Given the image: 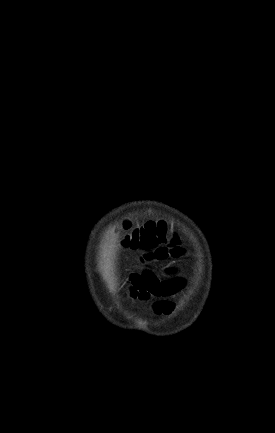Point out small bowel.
I'll use <instances>...</instances> for the list:
<instances>
[{"instance_id":"obj_1","label":"small bowel","mask_w":275,"mask_h":433,"mask_svg":"<svg viewBox=\"0 0 275 433\" xmlns=\"http://www.w3.org/2000/svg\"><path fill=\"white\" fill-rule=\"evenodd\" d=\"M165 256L163 250H156L146 254L142 258L143 263L153 259H161ZM130 295L138 301L157 299L154 310L158 314H170L173 311V303L170 301L185 286V281L175 275L173 268H167L162 275L149 268H143L130 276Z\"/></svg>"}]
</instances>
